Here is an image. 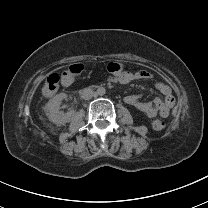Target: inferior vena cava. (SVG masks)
<instances>
[{
	"label": "inferior vena cava",
	"mask_w": 208,
	"mask_h": 208,
	"mask_svg": "<svg viewBox=\"0 0 208 208\" xmlns=\"http://www.w3.org/2000/svg\"><path fill=\"white\" fill-rule=\"evenodd\" d=\"M94 96V91L87 87V88H84L81 92V97L85 100H89L91 99L92 97Z\"/></svg>",
	"instance_id": "obj_1"
}]
</instances>
